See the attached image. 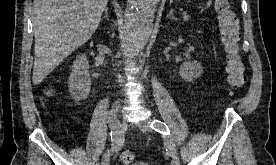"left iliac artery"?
Instances as JSON below:
<instances>
[{"label":"left iliac artery","instance_id":"obj_1","mask_svg":"<svg viewBox=\"0 0 276 165\" xmlns=\"http://www.w3.org/2000/svg\"><path fill=\"white\" fill-rule=\"evenodd\" d=\"M151 128L163 135L164 144L170 154L176 152L175 143L173 142L168 126L165 123L160 120H153L151 123Z\"/></svg>","mask_w":276,"mask_h":165}]
</instances>
